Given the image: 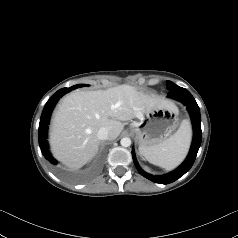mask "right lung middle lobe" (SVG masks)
<instances>
[{
	"instance_id": "dd1d6c3e",
	"label": "right lung middle lobe",
	"mask_w": 238,
	"mask_h": 238,
	"mask_svg": "<svg viewBox=\"0 0 238 238\" xmlns=\"http://www.w3.org/2000/svg\"><path fill=\"white\" fill-rule=\"evenodd\" d=\"M87 86L86 84H78L77 87Z\"/></svg>"
}]
</instances>
